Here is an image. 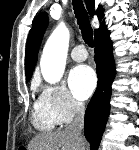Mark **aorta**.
I'll use <instances>...</instances> for the list:
<instances>
[{
  "label": "aorta",
  "mask_w": 139,
  "mask_h": 150,
  "mask_svg": "<svg viewBox=\"0 0 139 150\" xmlns=\"http://www.w3.org/2000/svg\"><path fill=\"white\" fill-rule=\"evenodd\" d=\"M70 32L60 23L47 40L41 56L40 67L45 81L54 84L63 76L68 52Z\"/></svg>",
  "instance_id": "aorta-1"
}]
</instances>
